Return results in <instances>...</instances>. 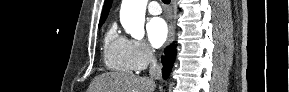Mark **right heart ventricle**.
Instances as JSON below:
<instances>
[{
  "label": "right heart ventricle",
  "mask_w": 289,
  "mask_h": 92,
  "mask_svg": "<svg viewBox=\"0 0 289 92\" xmlns=\"http://www.w3.org/2000/svg\"><path fill=\"white\" fill-rule=\"evenodd\" d=\"M104 62L113 71L131 73L134 71L129 55V40L117 32L111 24L104 36Z\"/></svg>",
  "instance_id": "obj_1"
}]
</instances>
